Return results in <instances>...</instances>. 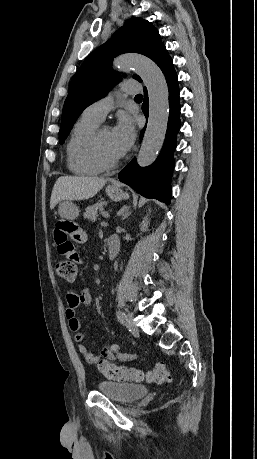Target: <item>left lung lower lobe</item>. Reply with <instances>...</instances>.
Listing matches in <instances>:
<instances>
[{
  "mask_svg": "<svg viewBox=\"0 0 257 459\" xmlns=\"http://www.w3.org/2000/svg\"><path fill=\"white\" fill-rule=\"evenodd\" d=\"M162 70L169 89L170 113L163 148L156 161L148 167H139L133 159L119 174L118 179L132 187L147 198H154L166 204L171 198V177L174 168L173 151L176 147V136L180 128V104L177 74L172 59L167 55L158 65ZM142 110L148 117L149 103L147 90L144 88ZM144 129L140 133L142 139Z\"/></svg>",
  "mask_w": 257,
  "mask_h": 459,
  "instance_id": "left-lung-lower-lobe-1",
  "label": "left lung lower lobe"
}]
</instances>
